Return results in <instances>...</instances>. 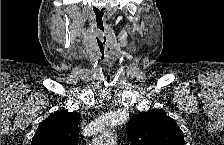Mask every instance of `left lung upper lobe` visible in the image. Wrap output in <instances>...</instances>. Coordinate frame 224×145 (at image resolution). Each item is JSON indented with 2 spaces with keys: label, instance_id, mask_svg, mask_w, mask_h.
<instances>
[{
  "label": "left lung upper lobe",
  "instance_id": "1",
  "mask_svg": "<svg viewBox=\"0 0 224 145\" xmlns=\"http://www.w3.org/2000/svg\"><path fill=\"white\" fill-rule=\"evenodd\" d=\"M126 131L132 145H184L176 122L159 109L133 116Z\"/></svg>",
  "mask_w": 224,
  "mask_h": 145
}]
</instances>
